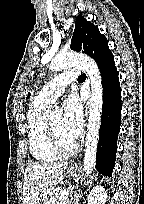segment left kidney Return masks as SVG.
Wrapping results in <instances>:
<instances>
[{"mask_svg":"<svg viewBox=\"0 0 144 204\" xmlns=\"http://www.w3.org/2000/svg\"><path fill=\"white\" fill-rule=\"evenodd\" d=\"M107 193L101 185L94 187L87 197L88 204H105L107 201Z\"/></svg>","mask_w":144,"mask_h":204,"instance_id":"obj_1","label":"left kidney"}]
</instances>
